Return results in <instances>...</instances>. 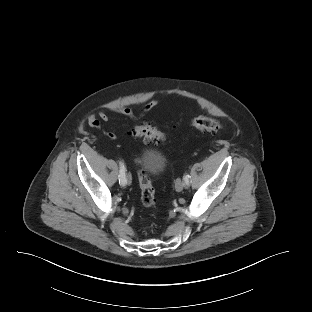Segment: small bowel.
I'll return each mask as SVG.
<instances>
[{"mask_svg": "<svg viewBox=\"0 0 312 312\" xmlns=\"http://www.w3.org/2000/svg\"><path fill=\"white\" fill-rule=\"evenodd\" d=\"M158 105L157 100H153L146 104V106L143 109V112L140 114H136L133 112L132 109L128 107H114L110 111L114 114L125 116L132 120L140 119L145 113L153 109ZM112 118L106 111H100L97 115H90L88 117L87 123L91 128L102 130L106 136H108L111 139H115L116 135L111 131H106L102 127V122H108Z\"/></svg>", "mask_w": 312, "mask_h": 312, "instance_id": "obj_1", "label": "small bowel"}]
</instances>
